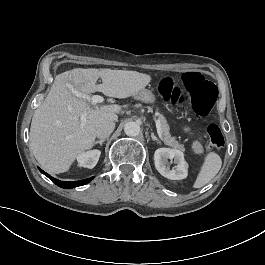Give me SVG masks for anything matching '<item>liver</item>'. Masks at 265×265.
<instances>
[{
    "mask_svg": "<svg viewBox=\"0 0 265 265\" xmlns=\"http://www.w3.org/2000/svg\"><path fill=\"white\" fill-rule=\"evenodd\" d=\"M99 77L103 83L96 85ZM150 80L147 74L111 69L76 68L57 75L31 122L30 147L36 160L50 173L66 172L80 153L92 148L96 126L104 120H118L121 106L93 109L86 99L72 94L69 84L86 95L99 91L109 97L127 98ZM84 112L86 124L81 129L80 116Z\"/></svg>",
    "mask_w": 265,
    "mask_h": 265,
    "instance_id": "liver-1",
    "label": "liver"
}]
</instances>
